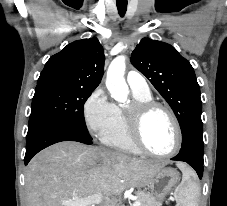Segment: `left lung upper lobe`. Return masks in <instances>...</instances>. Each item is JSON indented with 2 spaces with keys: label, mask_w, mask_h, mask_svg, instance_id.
Wrapping results in <instances>:
<instances>
[{
  "label": "left lung upper lobe",
  "mask_w": 227,
  "mask_h": 206,
  "mask_svg": "<svg viewBox=\"0 0 227 206\" xmlns=\"http://www.w3.org/2000/svg\"><path fill=\"white\" fill-rule=\"evenodd\" d=\"M131 62L172 108L182 143L194 137L203 145L200 87L189 61L170 44L144 38L132 52Z\"/></svg>",
  "instance_id": "obj_1"
}]
</instances>
